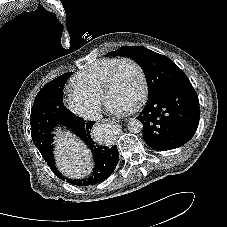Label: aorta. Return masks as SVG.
<instances>
[{"label":"aorta","mask_w":227,"mask_h":227,"mask_svg":"<svg viewBox=\"0 0 227 227\" xmlns=\"http://www.w3.org/2000/svg\"><path fill=\"white\" fill-rule=\"evenodd\" d=\"M128 130L131 133H140L143 130V124L138 119H131L128 123Z\"/></svg>","instance_id":"1"}]
</instances>
